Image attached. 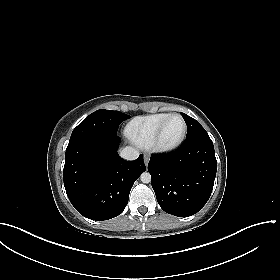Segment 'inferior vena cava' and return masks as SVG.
I'll return each instance as SVG.
<instances>
[{"label": "inferior vena cava", "mask_w": 280, "mask_h": 280, "mask_svg": "<svg viewBox=\"0 0 280 280\" xmlns=\"http://www.w3.org/2000/svg\"><path fill=\"white\" fill-rule=\"evenodd\" d=\"M120 156L125 160H135L139 156V151L133 147H125L120 151Z\"/></svg>", "instance_id": "602c4592"}]
</instances>
